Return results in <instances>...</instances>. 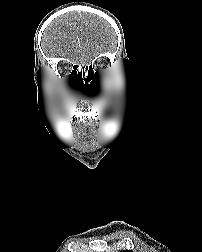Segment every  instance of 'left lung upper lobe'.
I'll use <instances>...</instances> for the list:
<instances>
[{"mask_svg":"<svg viewBox=\"0 0 202 252\" xmlns=\"http://www.w3.org/2000/svg\"><path fill=\"white\" fill-rule=\"evenodd\" d=\"M121 252H133V251L124 250V251H121Z\"/></svg>","mask_w":202,"mask_h":252,"instance_id":"5c2ea615","label":"left lung upper lobe"}]
</instances>
